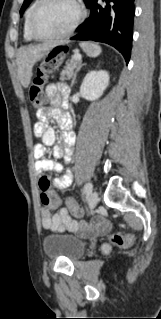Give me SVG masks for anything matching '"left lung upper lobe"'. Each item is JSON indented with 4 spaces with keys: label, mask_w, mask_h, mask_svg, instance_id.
Segmentation results:
<instances>
[{
    "label": "left lung upper lobe",
    "mask_w": 161,
    "mask_h": 319,
    "mask_svg": "<svg viewBox=\"0 0 161 319\" xmlns=\"http://www.w3.org/2000/svg\"><path fill=\"white\" fill-rule=\"evenodd\" d=\"M31 1H32V0H24V3H23V5H22V7H21V10H20V14H21V15H22L23 12L25 11V9L28 7V5L31 3ZM89 1H90V0H84V2H85L86 5L88 4Z\"/></svg>",
    "instance_id": "1"
}]
</instances>
